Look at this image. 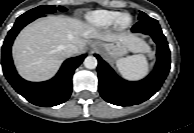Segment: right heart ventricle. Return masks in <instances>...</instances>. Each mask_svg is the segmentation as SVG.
Wrapping results in <instances>:
<instances>
[{
  "label": "right heart ventricle",
  "mask_w": 194,
  "mask_h": 133,
  "mask_svg": "<svg viewBox=\"0 0 194 133\" xmlns=\"http://www.w3.org/2000/svg\"><path fill=\"white\" fill-rule=\"evenodd\" d=\"M120 13L121 12L114 10H96L91 12L87 19L91 25L106 29L114 25Z\"/></svg>",
  "instance_id": "e07e8e85"
}]
</instances>
